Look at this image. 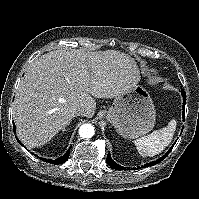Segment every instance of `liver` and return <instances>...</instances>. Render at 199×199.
I'll list each match as a JSON object with an SVG mask.
<instances>
[{
	"label": "liver",
	"instance_id": "liver-1",
	"mask_svg": "<svg viewBox=\"0 0 199 199\" xmlns=\"http://www.w3.org/2000/svg\"><path fill=\"white\" fill-rule=\"evenodd\" d=\"M135 61L119 51L54 50L36 59L26 70L13 104L19 139L29 148L46 144L75 117L95 114L98 98H113L137 85Z\"/></svg>",
	"mask_w": 199,
	"mask_h": 199
}]
</instances>
